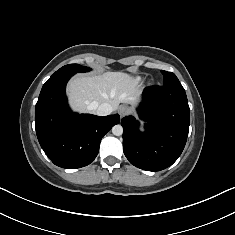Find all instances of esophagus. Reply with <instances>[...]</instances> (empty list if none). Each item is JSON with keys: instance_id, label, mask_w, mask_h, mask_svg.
<instances>
[{"instance_id": "34e87169", "label": "esophagus", "mask_w": 235, "mask_h": 235, "mask_svg": "<svg viewBox=\"0 0 235 235\" xmlns=\"http://www.w3.org/2000/svg\"><path fill=\"white\" fill-rule=\"evenodd\" d=\"M118 112L121 116L127 114L129 112V107L126 106V105H121L119 108H118Z\"/></svg>"}]
</instances>
